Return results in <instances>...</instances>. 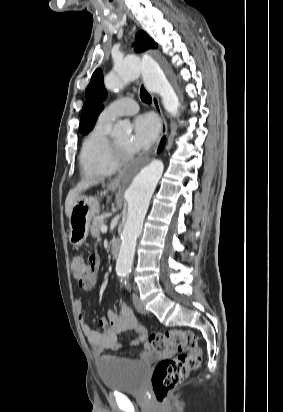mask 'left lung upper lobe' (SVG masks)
Here are the masks:
<instances>
[{
  "instance_id": "1",
  "label": "left lung upper lobe",
  "mask_w": 283,
  "mask_h": 412,
  "mask_svg": "<svg viewBox=\"0 0 283 412\" xmlns=\"http://www.w3.org/2000/svg\"><path fill=\"white\" fill-rule=\"evenodd\" d=\"M133 45L136 52H142L157 47V44L143 31L137 33L135 44ZM85 95L88 100L84 103L82 108L79 126L80 132L83 134H87L93 129L95 119L103 109L101 101L106 98L103 76L99 69L93 73L90 84L86 88Z\"/></svg>"
}]
</instances>
